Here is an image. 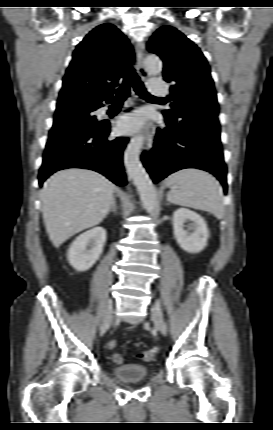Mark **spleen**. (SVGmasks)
Returning a JSON list of instances; mask_svg holds the SVG:
<instances>
[{
	"label": "spleen",
	"mask_w": 273,
	"mask_h": 430,
	"mask_svg": "<svg viewBox=\"0 0 273 430\" xmlns=\"http://www.w3.org/2000/svg\"><path fill=\"white\" fill-rule=\"evenodd\" d=\"M167 193L170 203L210 212L218 219L224 217V204L219 183L210 174L195 168L180 169L169 175Z\"/></svg>",
	"instance_id": "1"
}]
</instances>
